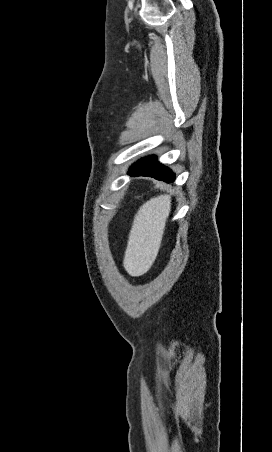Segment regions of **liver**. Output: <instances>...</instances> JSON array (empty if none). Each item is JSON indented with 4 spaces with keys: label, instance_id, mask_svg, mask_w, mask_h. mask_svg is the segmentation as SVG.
<instances>
[{
    "label": "liver",
    "instance_id": "6515ba94",
    "mask_svg": "<svg viewBox=\"0 0 272 452\" xmlns=\"http://www.w3.org/2000/svg\"><path fill=\"white\" fill-rule=\"evenodd\" d=\"M171 211V196L160 195L145 202L134 217L123 266L138 277L152 266L158 254L166 220Z\"/></svg>",
    "mask_w": 272,
    "mask_h": 452
}]
</instances>
